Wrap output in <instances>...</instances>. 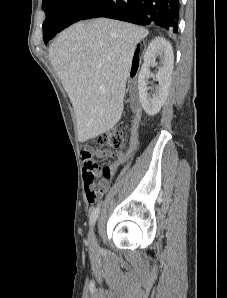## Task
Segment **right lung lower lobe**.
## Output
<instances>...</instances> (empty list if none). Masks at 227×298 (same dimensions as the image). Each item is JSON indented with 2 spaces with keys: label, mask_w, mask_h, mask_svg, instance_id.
I'll return each mask as SVG.
<instances>
[{
  "label": "right lung lower lobe",
  "mask_w": 227,
  "mask_h": 298,
  "mask_svg": "<svg viewBox=\"0 0 227 298\" xmlns=\"http://www.w3.org/2000/svg\"><path fill=\"white\" fill-rule=\"evenodd\" d=\"M96 17L139 25L155 23L177 33L179 0H100L82 20Z\"/></svg>",
  "instance_id": "1"
}]
</instances>
